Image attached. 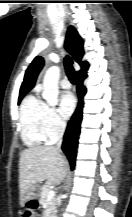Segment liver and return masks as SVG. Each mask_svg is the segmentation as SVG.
Instances as JSON below:
<instances>
[{"label":"liver","instance_id":"6515ba94","mask_svg":"<svg viewBox=\"0 0 132 217\" xmlns=\"http://www.w3.org/2000/svg\"><path fill=\"white\" fill-rule=\"evenodd\" d=\"M68 170V161L55 146H33L23 150L19 159L20 200L23 201L34 184L45 180L50 185L60 184Z\"/></svg>","mask_w":132,"mask_h":217}]
</instances>
